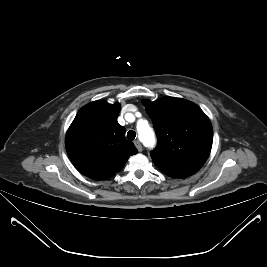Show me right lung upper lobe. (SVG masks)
Returning <instances> with one entry per match:
<instances>
[{"mask_svg": "<svg viewBox=\"0 0 267 267\" xmlns=\"http://www.w3.org/2000/svg\"><path fill=\"white\" fill-rule=\"evenodd\" d=\"M120 104L95 101L83 106L70 125L65 146L76 169L94 180L119 172L128 158L137 153L117 122Z\"/></svg>", "mask_w": 267, "mask_h": 267, "instance_id": "right-lung-upper-lobe-1", "label": "right lung upper lobe"}]
</instances>
